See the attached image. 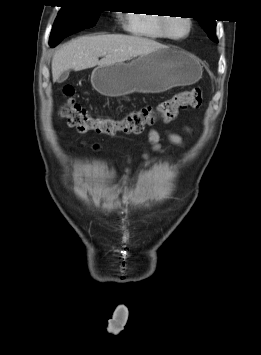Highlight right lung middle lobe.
Masks as SVG:
<instances>
[{
	"label": "right lung middle lobe",
	"mask_w": 261,
	"mask_h": 355,
	"mask_svg": "<svg viewBox=\"0 0 261 355\" xmlns=\"http://www.w3.org/2000/svg\"><path fill=\"white\" fill-rule=\"evenodd\" d=\"M101 12L85 1L66 3L55 20L49 42L61 41L68 35L93 27Z\"/></svg>",
	"instance_id": "right-lung-middle-lobe-1"
}]
</instances>
